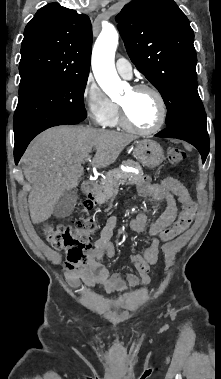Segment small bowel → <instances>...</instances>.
I'll list each match as a JSON object with an SVG mask.
<instances>
[{"label": "small bowel", "instance_id": "1", "mask_svg": "<svg viewBox=\"0 0 221 379\" xmlns=\"http://www.w3.org/2000/svg\"><path fill=\"white\" fill-rule=\"evenodd\" d=\"M137 193L139 196L166 202L165 211L150 226H148L147 216L144 213H139L130 222V228L134 232L147 231L151 237L142 254L131 256V262L138 271L140 278L132 273H111L109 268L102 263L104 257L113 258L115 256L111 237L118 218L111 216L107 219L94 243L88 267L78 274L66 275V280L70 286H78L83 282L90 289L96 285H101L107 293H121L144 286L149 282V268L157 262L160 251L157 236L174 221L178 204L185 207L192 203V200L186 187L172 177H166L157 184H152L147 178H144L137 184Z\"/></svg>", "mask_w": 221, "mask_h": 379}]
</instances>
